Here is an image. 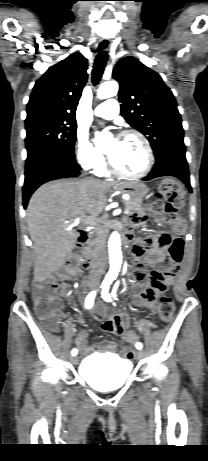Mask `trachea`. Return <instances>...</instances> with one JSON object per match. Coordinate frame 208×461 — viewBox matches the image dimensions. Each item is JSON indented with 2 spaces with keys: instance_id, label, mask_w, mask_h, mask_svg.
I'll return each mask as SVG.
<instances>
[{
  "instance_id": "3493384b",
  "label": "trachea",
  "mask_w": 208,
  "mask_h": 461,
  "mask_svg": "<svg viewBox=\"0 0 208 461\" xmlns=\"http://www.w3.org/2000/svg\"><path fill=\"white\" fill-rule=\"evenodd\" d=\"M108 55L106 52H100L94 62L93 72H92V82L94 85H97L102 77Z\"/></svg>"
}]
</instances>
